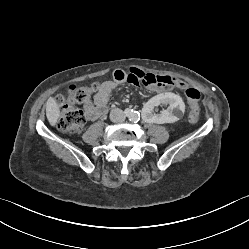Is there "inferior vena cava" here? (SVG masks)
Segmentation results:
<instances>
[{"label": "inferior vena cava", "instance_id": "inferior-vena-cava-1", "mask_svg": "<svg viewBox=\"0 0 249 249\" xmlns=\"http://www.w3.org/2000/svg\"><path fill=\"white\" fill-rule=\"evenodd\" d=\"M110 120L114 123H121L125 120V114L121 109L115 108L110 112Z\"/></svg>", "mask_w": 249, "mask_h": 249}]
</instances>
